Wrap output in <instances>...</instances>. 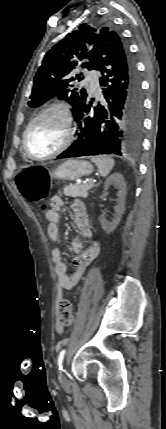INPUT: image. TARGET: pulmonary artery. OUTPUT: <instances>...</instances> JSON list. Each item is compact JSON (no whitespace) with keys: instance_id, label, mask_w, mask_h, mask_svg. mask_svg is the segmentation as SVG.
I'll return each mask as SVG.
<instances>
[{"instance_id":"pulmonary-artery-1","label":"pulmonary artery","mask_w":166,"mask_h":429,"mask_svg":"<svg viewBox=\"0 0 166 429\" xmlns=\"http://www.w3.org/2000/svg\"><path fill=\"white\" fill-rule=\"evenodd\" d=\"M89 89L92 92L99 93V78L96 74H88L86 77Z\"/></svg>"}]
</instances>
